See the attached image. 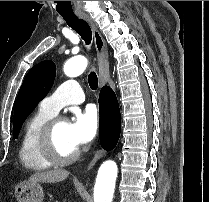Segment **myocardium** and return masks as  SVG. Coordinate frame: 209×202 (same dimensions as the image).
<instances>
[{"label": "myocardium", "instance_id": "obj_1", "mask_svg": "<svg viewBox=\"0 0 209 202\" xmlns=\"http://www.w3.org/2000/svg\"><path fill=\"white\" fill-rule=\"evenodd\" d=\"M63 121H65L63 117H52L45 123L38 138V148L40 152L49 162L56 165L70 164L76 161L80 156L79 148L69 155H62L55 146V130L58 124Z\"/></svg>", "mask_w": 209, "mask_h": 202}]
</instances>
